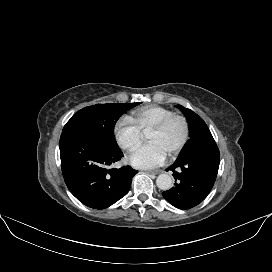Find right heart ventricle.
<instances>
[{
    "label": "right heart ventricle",
    "mask_w": 272,
    "mask_h": 272,
    "mask_svg": "<svg viewBox=\"0 0 272 272\" xmlns=\"http://www.w3.org/2000/svg\"><path fill=\"white\" fill-rule=\"evenodd\" d=\"M171 114L173 112L167 108L157 105H147L133 110L129 119L141 132H146Z\"/></svg>",
    "instance_id": "obj_1"
}]
</instances>
